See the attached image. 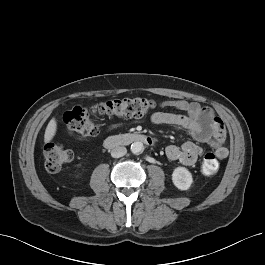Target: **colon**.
Returning a JSON list of instances; mask_svg holds the SVG:
<instances>
[{"mask_svg": "<svg viewBox=\"0 0 265 265\" xmlns=\"http://www.w3.org/2000/svg\"><path fill=\"white\" fill-rule=\"evenodd\" d=\"M155 106L153 100L146 98L116 99L91 107L75 106L64 114L63 120L70 134L81 138L92 137L99 132L98 125L92 119L94 113L112 117L140 118L149 114ZM44 156L46 169L53 173L69 163L73 158V153L59 144L49 143L44 148ZM201 170L205 175L217 173L219 160L214 153L204 155Z\"/></svg>", "mask_w": 265, "mask_h": 265, "instance_id": "colon-1", "label": "colon"}]
</instances>
